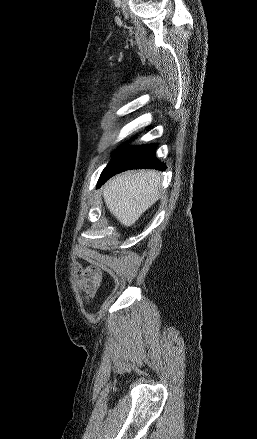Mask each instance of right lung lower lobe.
Wrapping results in <instances>:
<instances>
[{
    "label": "right lung lower lobe",
    "instance_id": "1",
    "mask_svg": "<svg viewBox=\"0 0 257 439\" xmlns=\"http://www.w3.org/2000/svg\"><path fill=\"white\" fill-rule=\"evenodd\" d=\"M157 144H148L134 147L120 146L114 153L112 160L103 170L97 188L106 182L107 179L117 173L140 168H152L164 171L166 165L159 162L155 157Z\"/></svg>",
    "mask_w": 257,
    "mask_h": 439
}]
</instances>
